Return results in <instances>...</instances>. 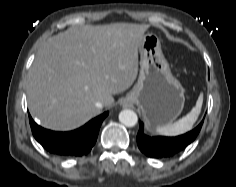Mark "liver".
I'll use <instances>...</instances> for the list:
<instances>
[{"label":"liver","mask_w":236,"mask_h":187,"mask_svg":"<svg viewBox=\"0 0 236 187\" xmlns=\"http://www.w3.org/2000/svg\"><path fill=\"white\" fill-rule=\"evenodd\" d=\"M148 25L113 23L74 27L50 37L27 76L30 114L41 126L68 131L114 104L112 95L131 87L138 50Z\"/></svg>","instance_id":"liver-1"}]
</instances>
